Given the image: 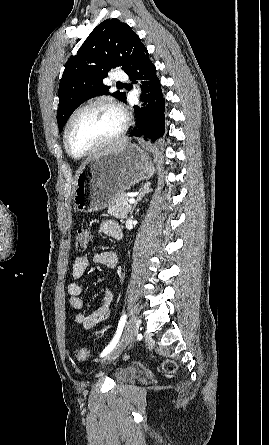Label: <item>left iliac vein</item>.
Returning a JSON list of instances; mask_svg holds the SVG:
<instances>
[{
    "label": "left iliac vein",
    "instance_id": "left-iliac-vein-1",
    "mask_svg": "<svg viewBox=\"0 0 269 445\" xmlns=\"http://www.w3.org/2000/svg\"><path fill=\"white\" fill-rule=\"evenodd\" d=\"M140 326V320L133 316L129 322L127 323L124 333L120 339V342L117 345V348L115 351L108 357V360L114 359L118 354H120L127 345L134 339V337L137 335L138 330ZM105 361V363L107 362Z\"/></svg>",
    "mask_w": 269,
    "mask_h": 445
}]
</instances>
